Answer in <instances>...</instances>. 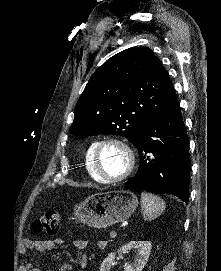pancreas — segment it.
<instances>
[{
  "mask_svg": "<svg viewBox=\"0 0 221 271\" xmlns=\"http://www.w3.org/2000/svg\"><path fill=\"white\" fill-rule=\"evenodd\" d=\"M96 247H111L109 239H97Z\"/></svg>",
  "mask_w": 221,
  "mask_h": 271,
  "instance_id": "pancreas-1",
  "label": "pancreas"
}]
</instances>
